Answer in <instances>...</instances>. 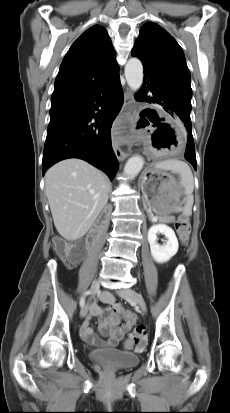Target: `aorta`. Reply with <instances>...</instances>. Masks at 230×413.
Returning a JSON list of instances; mask_svg holds the SVG:
<instances>
[{"instance_id":"762f6f07","label":"aorta","mask_w":230,"mask_h":413,"mask_svg":"<svg viewBox=\"0 0 230 413\" xmlns=\"http://www.w3.org/2000/svg\"><path fill=\"white\" fill-rule=\"evenodd\" d=\"M125 78L128 86L134 92L138 91L143 83V65L138 58H130L125 65ZM144 159L141 156H133L124 166V174L127 177H135L143 168Z\"/></svg>"}]
</instances>
